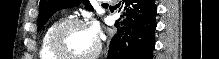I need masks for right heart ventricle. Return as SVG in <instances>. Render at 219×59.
Here are the masks:
<instances>
[{
  "label": "right heart ventricle",
  "mask_w": 219,
  "mask_h": 59,
  "mask_svg": "<svg viewBox=\"0 0 219 59\" xmlns=\"http://www.w3.org/2000/svg\"><path fill=\"white\" fill-rule=\"evenodd\" d=\"M61 21H63V19L54 20L44 30L39 44V59H60L52 52L50 41L54 29Z\"/></svg>",
  "instance_id": "e07e8e85"
}]
</instances>
